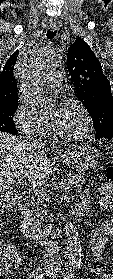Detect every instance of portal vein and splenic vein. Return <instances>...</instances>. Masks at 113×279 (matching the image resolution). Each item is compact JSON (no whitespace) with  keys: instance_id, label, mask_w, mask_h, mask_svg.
Segmentation results:
<instances>
[{"instance_id":"18ae733b","label":"portal vein and splenic vein","mask_w":113,"mask_h":279,"mask_svg":"<svg viewBox=\"0 0 113 279\" xmlns=\"http://www.w3.org/2000/svg\"><path fill=\"white\" fill-rule=\"evenodd\" d=\"M17 181L20 185L24 186L25 185V179L22 176H18ZM29 190L32 192L34 197H39L40 196V192L39 190L36 188L35 185H29L28 186Z\"/></svg>"}]
</instances>
